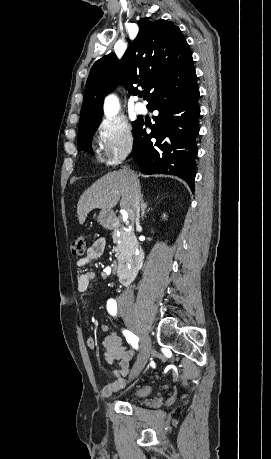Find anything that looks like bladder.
Instances as JSON below:
<instances>
[{
	"label": "bladder",
	"instance_id": "31cf9c89",
	"mask_svg": "<svg viewBox=\"0 0 271 459\" xmlns=\"http://www.w3.org/2000/svg\"><path fill=\"white\" fill-rule=\"evenodd\" d=\"M152 392V388L145 385H140L131 390L130 400L134 401L136 399L143 398L145 396H149Z\"/></svg>",
	"mask_w": 271,
	"mask_h": 459
}]
</instances>
